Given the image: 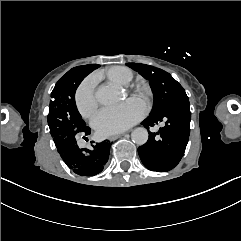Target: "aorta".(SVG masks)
I'll use <instances>...</instances> for the list:
<instances>
[{
  "label": "aorta",
  "mask_w": 241,
  "mask_h": 241,
  "mask_svg": "<svg viewBox=\"0 0 241 241\" xmlns=\"http://www.w3.org/2000/svg\"><path fill=\"white\" fill-rule=\"evenodd\" d=\"M119 90L114 85H100L95 93L97 101L102 105H112L119 99ZM148 131L143 127H138L131 133L132 141L137 145H144L148 141Z\"/></svg>",
  "instance_id": "aorta-1"
}]
</instances>
